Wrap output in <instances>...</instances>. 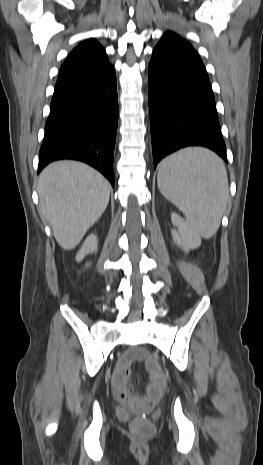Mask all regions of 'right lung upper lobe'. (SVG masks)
<instances>
[{
  "label": "right lung upper lobe",
  "mask_w": 263,
  "mask_h": 465,
  "mask_svg": "<svg viewBox=\"0 0 263 465\" xmlns=\"http://www.w3.org/2000/svg\"><path fill=\"white\" fill-rule=\"evenodd\" d=\"M112 66L104 48L94 39L79 44L64 61L58 81L103 72Z\"/></svg>",
  "instance_id": "right-lung-upper-lobe-1"
}]
</instances>
